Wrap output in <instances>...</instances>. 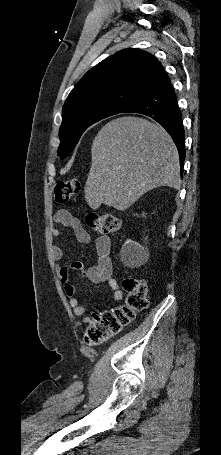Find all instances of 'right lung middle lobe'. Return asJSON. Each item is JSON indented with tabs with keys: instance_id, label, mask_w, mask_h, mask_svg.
<instances>
[{
	"instance_id": "obj_1",
	"label": "right lung middle lobe",
	"mask_w": 221,
	"mask_h": 455,
	"mask_svg": "<svg viewBox=\"0 0 221 455\" xmlns=\"http://www.w3.org/2000/svg\"><path fill=\"white\" fill-rule=\"evenodd\" d=\"M125 108L114 102L84 105L62 115L59 129L58 156L65 158L76 146L83 132L92 124L109 116L122 113Z\"/></svg>"
}]
</instances>
